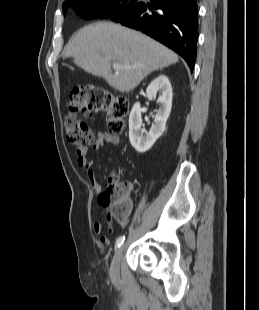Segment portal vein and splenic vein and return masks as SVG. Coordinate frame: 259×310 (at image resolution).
<instances>
[{
    "label": "portal vein and splenic vein",
    "mask_w": 259,
    "mask_h": 310,
    "mask_svg": "<svg viewBox=\"0 0 259 310\" xmlns=\"http://www.w3.org/2000/svg\"><path fill=\"white\" fill-rule=\"evenodd\" d=\"M112 67H113L114 70H120V69H128V68H130V66L122 65V64L119 63V62H114L113 65H112Z\"/></svg>",
    "instance_id": "1"
}]
</instances>
